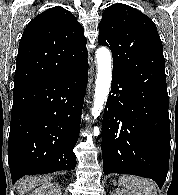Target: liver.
Here are the masks:
<instances>
[{
  "mask_svg": "<svg viewBox=\"0 0 178 195\" xmlns=\"http://www.w3.org/2000/svg\"><path fill=\"white\" fill-rule=\"evenodd\" d=\"M50 176H34V177H26L22 178L18 182V193L19 195H24L25 193L29 192L30 190L34 189L37 186L43 185L50 181Z\"/></svg>",
  "mask_w": 178,
  "mask_h": 195,
  "instance_id": "liver-1",
  "label": "liver"
}]
</instances>
